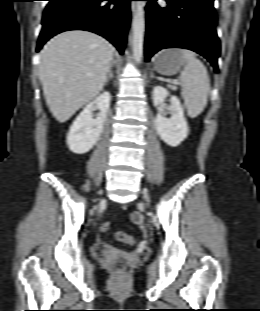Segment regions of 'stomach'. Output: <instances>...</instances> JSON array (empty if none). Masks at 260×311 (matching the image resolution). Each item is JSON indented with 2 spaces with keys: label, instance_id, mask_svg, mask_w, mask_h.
<instances>
[{
  "label": "stomach",
  "instance_id": "0dacf381",
  "mask_svg": "<svg viewBox=\"0 0 260 311\" xmlns=\"http://www.w3.org/2000/svg\"><path fill=\"white\" fill-rule=\"evenodd\" d=\"M184 64L185 62L179 49L163 50L155 56L153 61L154 70L165 76L178 73Z\"/></svg>",
  "mask_w": 260,
  "mask_h": 311
}]
</instances>
